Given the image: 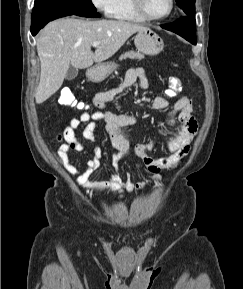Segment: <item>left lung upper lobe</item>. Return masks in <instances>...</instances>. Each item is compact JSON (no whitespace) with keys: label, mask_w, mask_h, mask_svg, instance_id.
<instances>
[{"label":"left lung upper lobe","mask_w":243,"mask_h":289,"mask_svg":"<svg viewBox=\"0 0 243 289\" xmlns=\"http://www.w3.org/2000/svg\"><path fill=\"white\" fill-rule=\"evenodd\" d=\"M179 7L187 14L193 15L195 11V0H175Z\"/></svg>","instance_id":"5c2ea615"}]
</instances>
